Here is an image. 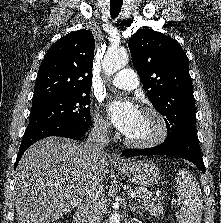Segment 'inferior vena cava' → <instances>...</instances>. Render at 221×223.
<instances>
[{
  "mask_svg": "<svg viewBox=\"0 0 221 223\" xmlns=\"http://www.w3.org/2000/svg\"><path fill=\"white\" fill-rule=\"evenodd\" d=\"M110 142L108 125L104 122H95L85 143L90 159V172L87 175L85 189V221L86 223H100L101 210L104 201L103 179L99 169L104 156L103 148Z\"/></svg>",
  "mask_w": 221,
  "mask_h": 223,
  "instance_id": "obj_1",
  "label": "inferior vena cava"
}]
</instances>
